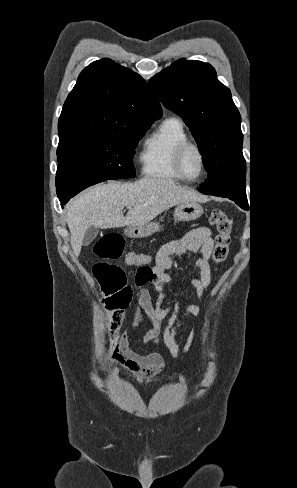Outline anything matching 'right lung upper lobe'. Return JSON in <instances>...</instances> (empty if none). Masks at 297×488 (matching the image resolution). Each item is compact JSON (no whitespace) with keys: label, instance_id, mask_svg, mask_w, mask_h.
Masks as SVG:
<instances>
[{"label":"right lung upper lobe","instance_id":"right-lung-upper-lobe-1","mask_svg":"<svg viewBox=\"0 0 297 488\" xmlns=\"http://www.w3.org/2000/svg\"><path fill=\"white\" fill-rule=\"evenodd\" d=\"M160 103L146 81L111 59L91 63L79 75L58 122L59 138L119 132L153 123Z\"/></svg>","mask_w":297,"mask_h":488}]
</instances>
